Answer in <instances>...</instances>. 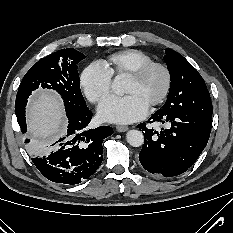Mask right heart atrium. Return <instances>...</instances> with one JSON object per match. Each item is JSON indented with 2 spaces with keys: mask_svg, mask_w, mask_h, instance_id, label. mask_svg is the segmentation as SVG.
Here are the masks:
<instances>
[{
  "mask_svg": "<svg viewBox=\"0 0 233 233\" xmlns=\"http://www.w3.org/2000/svg\"><path fill=\"white\" fill-rule=\"evenodd\" d=\"M79 82L87 99L96 103L109 94L112 75L103 64L93 62L83 69Z\"/></svg>",
  "mask_w": 233,
  "mask_h": 233,
  "instance_id": "d8ad5b80",
  "label": "right heart atrium"
}]
</instances>
